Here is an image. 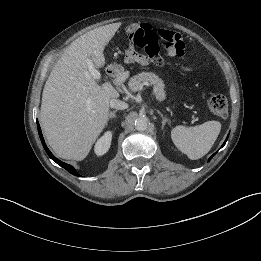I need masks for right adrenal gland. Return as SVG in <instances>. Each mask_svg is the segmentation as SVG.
<instances>
[{"label": "right adrenal gland", "instance_id": "1", "mask_svg": "<svg viewBox=\"0 0 261 261\" xmlns=\"http://www.w3.org/2000/svg\"><path fill=\"white\" fill-rule=\"evenodd\" d=\"M116 112H117V110H114V111H112V112L109 113L108 121H109V120H112V119H115V117H116V115H115Z\"/></svg>", "mask_w": 261, "mask_h": 261}]
</instances>
